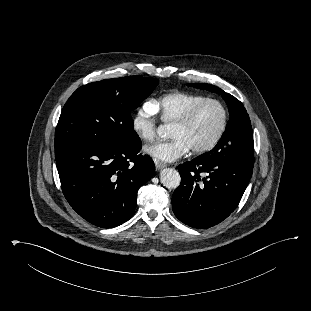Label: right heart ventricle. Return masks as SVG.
Instances as JSON below:
<instances>
[{
	"label": "right heart ventricle",
	"mask_w": 311,
	"mask_h": 311,
	"mask_svg": "<svg viewBox=\"0 0 311 311\" xmlns=\"http://www.w3.org/2000/svg\"><path fill=\"white\" fill-rule=\"evenodd\" d=\"M206 99L205 96L186 92H174L153 101L155 111L164 123L173 124L191 107Z\"/></svg>",
	"instance_id": "obj_1"
}]
</instances>
